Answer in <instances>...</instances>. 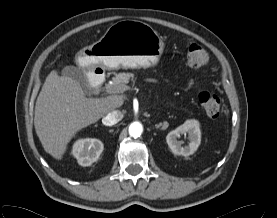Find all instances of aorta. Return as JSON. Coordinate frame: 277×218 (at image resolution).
Wrapping results in <instances>:
<instances>
[{"instance_id":"762f6f07","label":"aorta","mask_w":277,"mask_h":218,"mask_svg":"<svg viewBox=\"0 0 277 218\" xmlns=\"http://www.w3.org/2000/svg\"><path fill=\"white\" fill-rule=\"evenodd\" d=\"M143 127L140 122H133L129 126V134L130 136L137 138L142 134Z\"/></svg>"}]
</instances>
